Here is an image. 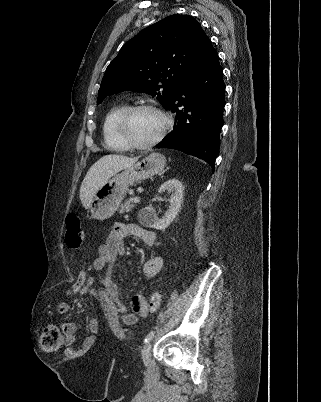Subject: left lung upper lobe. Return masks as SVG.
I'll list each match as a JSON object with an SVG mask.
<instances>
[{"mask_svg": "<svg viewBox=\"0 0 321 402\" xmlns=\"http://www.w3.org/2000/svg\"><path fill=\"white\" fill-rule=\"evenodd\" d=\"M208 41L199 22L189 15H171L143 29L107 67L97 104L114 93L138 91L157 96L167 108Z\"/></svg>", "mask_w": 321, "mask_h": 402, "instance_id": "left-lung-upper-lobe-1", "label": "left lung upper lobe"}]
</instances>
